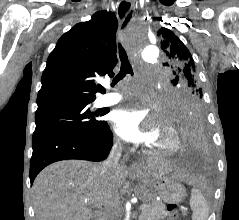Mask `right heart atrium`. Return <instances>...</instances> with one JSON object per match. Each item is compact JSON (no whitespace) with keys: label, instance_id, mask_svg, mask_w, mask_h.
I'll return each mask as SVG.
<instances>
[{"label":"right heart atrium","instance_id":"d8ad5b80","mask_svg":"<svg viewBox=\"0 0 239 220\" xmlns=\"http://www.w3.org/2000/svg\"><path fill=\"white\" fill-rule=\"evenodd\" d=\"M119 142H118V140H115V144H118Z\"/></svg>","mask_w":239,"mask_h":220}]
</instances>
